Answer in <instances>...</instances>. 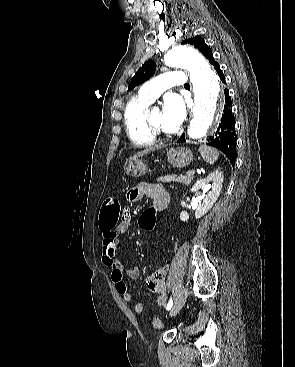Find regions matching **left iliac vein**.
<instances>
[{"mask_svg": "<svg viewBox=\"0 0 295 367\" xmlns=\"http://www.w3.org/2000/svg\"><path fill=\"white\" fill-rule=\"evenodd\" d=\"M186 298H187V290L186 288L182 287L178 291V296L176 298L175 304L170 312L171 317L176 315L179 312V310L184 305Z\"/></svg>", "mask_w": 295, "mask_h": 367, "instance_id": "obj_1", "label": "left iliac vein"}]
</instances>
